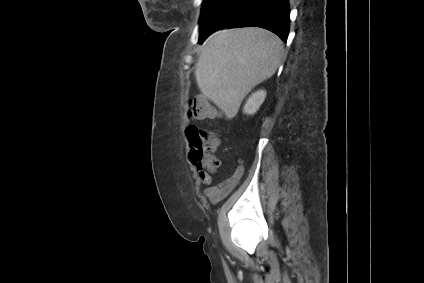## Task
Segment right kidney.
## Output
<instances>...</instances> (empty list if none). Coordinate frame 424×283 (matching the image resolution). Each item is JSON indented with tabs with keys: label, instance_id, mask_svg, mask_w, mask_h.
Returning <instances> with one entry per match:
<instances>
[{
	"label": "right kidney",
	"instance_id": "right-kidney-1",
	"mask_svg": "<svg viewBox=\"0 0 424 283\" xmlns=\"http://www.w3.org/2000/svg\"><path fill=\"white\" fill-rule=\"evenodd\" d=\"M266 97V91L258 90L254 92L246 101L243 112L247 115L255 114Z\"/></svg>",
	"mask_w": 424,
	"mask_h": 283
}]
</instances>
